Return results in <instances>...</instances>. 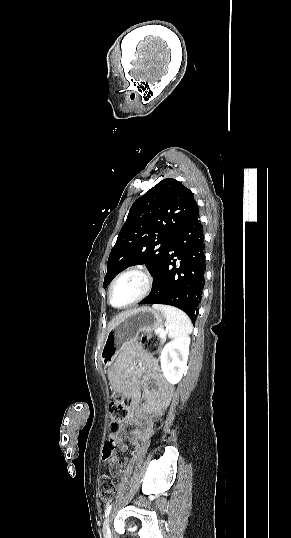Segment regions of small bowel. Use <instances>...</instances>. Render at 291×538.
<instances>
[{"label":"small bowel","instance_id":"c3829d8e","mask_svg":"<svg viewBox=\"0 0 291 538\" xmlns=\"http://www.w3.org/2000/svg\"><path fill=\"white\" fill-rule=\"evenodd\" d=\"M106 371L113 392L130 401L131 408L125 424L133 426L132 438L128 442L123 440L126 434L124 430L110 434L107 442H111L122 452L128 450L130 446L138 450L150 436L149 415L158 401L170 400L173 387L163 379L154 360L134 350L123 351L116 363L107 364ZM145 382H151L154 387L142 392L141 386ZM122 467V461L117 458L115 464L109 465L116 477L121 475Z\"/></svg>","mask_w":291,"mask_h":538}]
</instances>
